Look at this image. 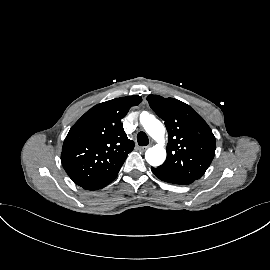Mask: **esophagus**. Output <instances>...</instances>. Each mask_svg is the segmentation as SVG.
<instances>
[{"label":"esophagus","instance_id":"34e87169","mask_svg":"<svg viewBox=\"0 0 270 270\" xmlns=\"http://www.w3.org/2000/svg\"><path fill=\"white\" fill-rule=\"evenodd\" d=\"M148 147H149V146H143V147H140L139 150H140L141 152H144Z\"/></svg>","mask_w":270,"mask_h":270}]
</instances>
